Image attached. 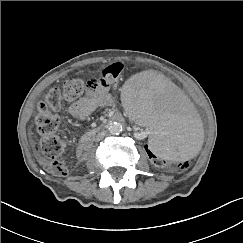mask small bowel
<instances>
[{
  "label": "small bowel",
  "instance_id": "obj_1",
  "mask_svg": "<svg viewBox=\"0 0 243 243\" xmlns=\"http://www.w3.org/2000/svg\"><path fill=\"white\" fill-rule=\"evenodd\" d=\"M113 103V96L106 85L96 84L88 93L73 102L69 107L70 114L77 119H86L98 107L109 106Z\"/></svg>",
  "mask_w": 243,
  "mask_h": 243
}]
</instances>
